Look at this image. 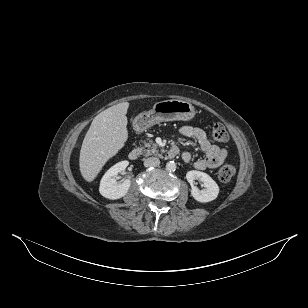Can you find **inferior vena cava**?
Instances as JSON below:
<instances>
[{"mask_svg":"<svg viewBox=\"0 0 308 308\" xmlns=\"http://www.w3.org/2000/svg\"><path fill=\"white\" fill-rule=\"evenodd\" d=\"M160 164V160L156 157H149L145 159L144 166L145 167H157Z\"/></svg>","mask_w":308,"mask_h":308,"instance_id":"inferior-vena-cava-1","label":"inferior vena cava"}]
</instances>
